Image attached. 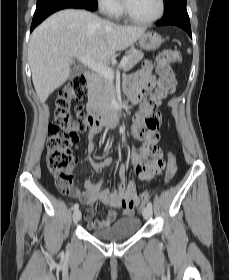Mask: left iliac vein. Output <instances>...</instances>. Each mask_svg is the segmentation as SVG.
<instances>
[{"label": "left iliac vein", "mask_w": 229, "mask_h": 280, "mask_svg": "<svg viewBox=\"0 0 229 280\" xmlns=\"http://www.w3.org/2000/svg\"><path fill=\"white\" fill-rule=\"evenodd\" d=\"M142 214L145 219H149L152 216V208L148 206L143 208Z\"/></svg>", "instance_id": "1"}]
</instances>
